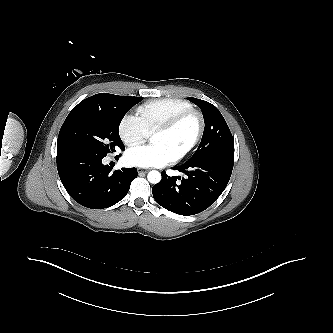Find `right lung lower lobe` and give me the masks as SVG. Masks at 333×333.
<instances>
[{
  "label": "right lung lower lobe",
  "mask_w": 333,
  "mask_h": 333,
  "mask_svg": "<svg viewBox=\"0 0 333 333\" xmlns=\"http://www.w3.org/2000/svg\"><path fill=\"white\" fill-rule=\"evenodd\" d=\"M104 157L83 150H57V169L68 194L91 209L110 207L122 200L138 175L136 168H112Z\"/></svg>",
  "instance_id": "obj_1"
}]
</instances>
